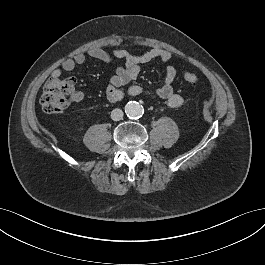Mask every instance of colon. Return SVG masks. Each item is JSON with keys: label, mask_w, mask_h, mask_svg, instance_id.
Instances as JSON below:
<instances>
[{"label": "colon", "mask_w": 265, "mask_h": 265, "mask_svg": "<svg viewBox=\"0 0 265 265\" xmlns=\"http://www.w3.org/2000/svg\"><path fill=\"white\" fill-rule=\"evenodd\" d=\"M184 80L190 84H199V77L187 71L183 75ZM75 81L73 78L51 76L44 84L40 97V104L46 113H61L65 111L74 100Z\"/></svg>", "instance_id": "5ec220e1"}]
</instances>
